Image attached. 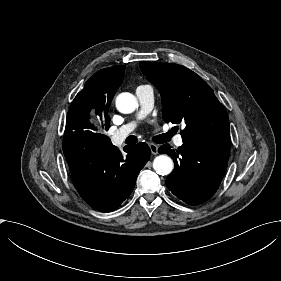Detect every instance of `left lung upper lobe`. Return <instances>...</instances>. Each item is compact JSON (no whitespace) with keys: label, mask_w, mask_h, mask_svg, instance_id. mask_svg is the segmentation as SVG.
I'll return each instance as SVG.
<instances>
[{"label":"left lung upper lobe","mask_w":281,"mask_h":281,"mask_svg":"<svg viewBox=\"0 0 281 281\" xmlns=\"http://www.w3.org/2000/svg\"><path fill=\"white\" fill-rule=\"evenodd\" d=\"M140 67L161 93L164 121L186 124L183 143H230L226 110L196 73L172 63L140 62Z\"/></svg>","instance_id":"obj_1"}]
</instances>
